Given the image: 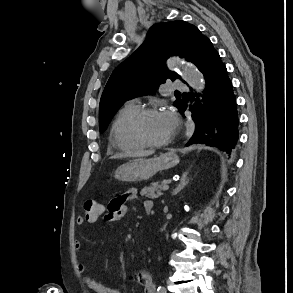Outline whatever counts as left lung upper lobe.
Returning a JSON list of instances; mask_svg holds the SVG:
<instances>
[{
    "instance_id": "5c2ea615",
    "label": "left lung upper lobe",
    "mask_w": 293,
    "mask_h": 293,
    "mask_svg": "<svg viewBox=\"0 0 293 293\" xmlns=\"http://www.w3.org/2000/svg\"><path fill=\"white\" fill-rule=\"evenodd\" d=\"M208 40L197 27L182 20L154 24L147 41L111 74L100 100V132L128 98L153 94L166 79L180 78L166 67L170 55H179L199 67ZM180 103L178 98L174 106Z\"/></svg>"
}]
</instances>
